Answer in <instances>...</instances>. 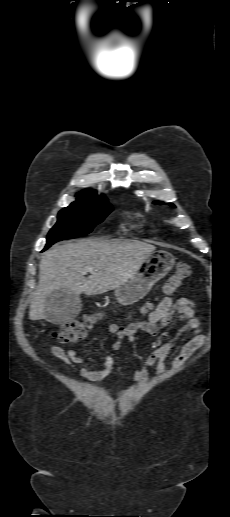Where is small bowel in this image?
<instances>
[{"label": "small bowel", "instance_id": "1", "mask_svg": "<svg viewBox=\"0 0 230 517\" xmlns=\"http://www.w3.org/2000/svg\"><path fill=\"white\" fill-rule=\"evenodd\" d=\"M195 310V303L187 297H181L176 300L165 297L158 303L156 308L149 313L146 320H134L126 325H119L116 323L109 325L108 331L111 334H114L117 338V341L113 345V349L118 350L122 339L134 341L135 334L139 331H143L151 336H156L168 325L173 315H176L182 323V326L171 340L164 343L147 356L143 365L134 375L135 382L141 383L145 381L147 377V368L150 366H156L158 374L164 373L166 369L165 360L174 350L178 339L183 335L189 333L190 338L173 359V368L176 369L182 366L202 346L204 343V337L201 334L200 323L195 316ZM50 351L52 356L65 363L67 366L75 369L88 380L104 378L115 368V361L109 355L101 356L98 359H82L78 356L77 349L75 347L63 348L58 345H53ZM83 362H89L91 364L101 363V367L99 369L93 367H76V364Z\"/></svg>", "mask_w": 230, "mask_h": 517}]
</instances>
